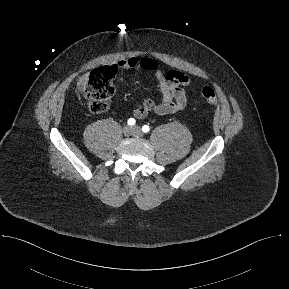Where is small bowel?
<instances>
[{"mask_svg":"<svg viewBox=\"0 0 289 289\" xmlns=\"http://www.w3.org/2000/svg\"><path fill=\"white\" fill-rule=\"evenodd\" d=\"M117 67L121 69L140 68L152 72L160 90L161 101L144 100L133 111L136 118L143 119L150 113L172 114L186 107L188 99L185 88L192 84V80L184 73L175 70L165 72L155 59L149 57L134 56L122 59L118 62Z\"/></svg>","mask_w":289,"mask_h":289,"instance_id":"obj_1","label":"small bowel"}]
</instances>
